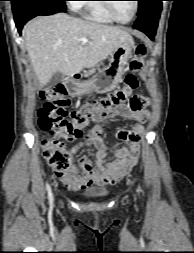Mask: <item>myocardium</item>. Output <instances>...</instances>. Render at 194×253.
I'll use <instances>...</instances> for the list:
<instances>
[{
  "label": "myocardium",
  "instance_id": "obj_1",
  "mask_svg": "<svg viewBox=\"0 0 194 253\" xmlns=\"http://www.w3.org/2000/svg\"><path fill=\"white\" fill-rule=\"evenodd\" d=\"M105 1H106V2L103 3V5H104V8L106 9V11L108 12V14L110 15V17H111L114 21H116V22H118V23H121V24H127V23L131 22V21L135 18L136 14H137V12H138V9H139V3H138V1H137V0H134V11H133L132 16H131L129 19H127V20H122V19H120V18L116 15V13H115V11H114V9H113V7H112V4L109 2L110 0H105Z\"/></svg>",
  "mask_w": 194,
  "mask_h": 253
}]
</instances>
